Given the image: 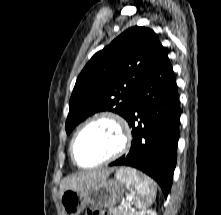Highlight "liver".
I'll return each instance as SVG.
<instances>
[{
  "instance_id": "liver-1",
  "label": "liver",
  "mask_w": 221,
  "mask_h": 215,
  "mask_svg": "<svg viewBox=\"0 0 221 215\" xmlns=\"http://www.w3.org/2000/svg\"><path fill=\"white\" fill-rule=\"evenodd\" d=\"M112 169H102L96 171L85 172L73 176L67 177L64 182L60 185L61 194L65 190H84L87 189L94 184H96L100 180L107 179L111 174Z\"/></svg>"
}]
</instances>
